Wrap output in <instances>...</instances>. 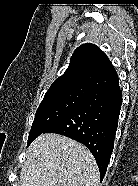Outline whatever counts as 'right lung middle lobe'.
Here are the masks:
<instances>
[{"label":"right lung middle lobe","instance_id":"right-lung-middle-lobe-1","mask_svg":"<svg viewBox=\"0 0 138 186\" xmlns=\"http://www.w3.org/2000/svg\"><path fill=\"white\" fill-rule=\"evenodd\" d=\"M92 90L82 86H69L47 91L33 121L27 146L68 113L85 103Z\"/></svg>","mask_w":138,"mask_h":186}]
</instances>
